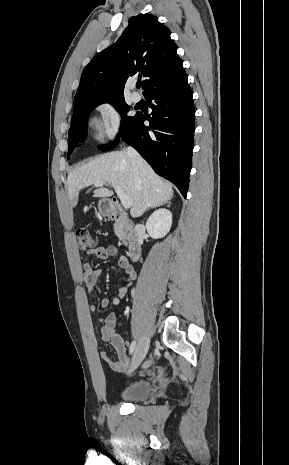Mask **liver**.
Masks as SVG:
<instances>
[{"mask_svg":"<svg viewBox=\"0 0 289 465\" xmlns=\"http://www.w3.org/2000/svg\"><path fill=\"white\" fill-rule=\"evenodd\" d=\"M103 181L120 187L131 198L130 213L141 216L152 206H160L173 196L172 185L159 177L143 160L138 170L134 169L127 151H114L101 155L71 171L67 178V190L71 207L78 203L79 192ZM114 192L107 188L94 191V197H110Z\"/></svg>","mask_w":289,"mask_h":465,"instance_id":"6515ba94","label":"liver"}]
</instances>
